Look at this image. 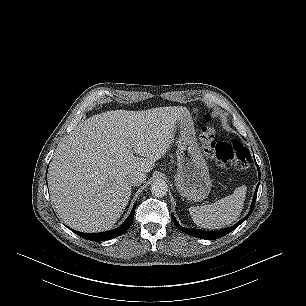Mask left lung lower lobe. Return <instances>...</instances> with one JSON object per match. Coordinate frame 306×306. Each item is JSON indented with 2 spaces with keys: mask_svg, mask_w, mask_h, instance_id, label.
Instances as JSON below:
<instances>
[{
  "mask_svg": "<svg viewBox=\"0 0 306 306\" xmlns=\"http://www.w3.org/2000/svg\"><path fill=\"white\" fill-rule=\"evenodd\" d=\"M258 166V165H257ZM258 174H259V178H260V169L258 166ZM258 187H259V183L256 187L255 193H254V197L251 203V207H250V211L249 213L240 221H238L235 225H233L232 227L229 228H225L222 230H218V231H203V230H198V229H186L183 228L181 226H179V224L177 223L176 219L174 216H172V220L174 222V224L181 229V231H183L184 233L194 236V237H198V238H203V239H207V240H214V239H218L221 238L225 235H227L228 233H230L231 231H233L234 229H236L243 221H245L250 214L252 213L254 206H255V201H256V196H257V191H258Z\"/></svg>",
  "mask_w": 306,
  "mask_h": 306,
  "instance_id": "1",
  "label": "left lung lower lobe"
}]
</instances>
